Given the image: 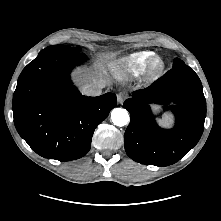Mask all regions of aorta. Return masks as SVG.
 <instances>
[{
  "label": "aorta",
  "mask_w": 221,
  "mask_h": 221,
  "mask_svg": "<svg viewBox=\"0 0 221 221\" xmlns=\"http://www.w3.org/2000/svg\"><path fill=\"white\" fill-rule=\"evenodd\" d=\"M111 119L116 126H124L130 121L128 111L123 108H114L111 112Z\"/></svg>",
  "instance_id": "aorta-1"
}]
</instances>
